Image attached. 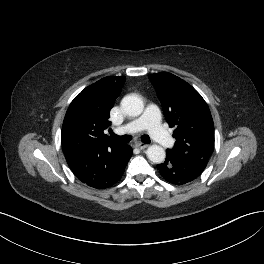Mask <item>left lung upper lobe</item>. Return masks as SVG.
Instances as JSON below:
<instances>
[{"instance_id":"obj_1","label":"left lung upper lobe","mask_w":264,"mask_h":264,"mask_svg":"<svg viewBox=\"0 0 264 264\" xmlns=\"http://www.w3.org/2000/svg\"><path fill=\"white\" fill-rule=\"evenodd\" d=\"M162 104L166 121L175 127V146L179 157L205 161L214 149V124L202 96L187 82L168 73L148 76Z\"/></svg>"}]
</instances>
